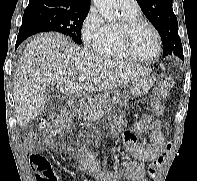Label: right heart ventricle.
I'll return each instance as SVG.
<instances>
[{
    "mask_svg": "<svg viewBox=\"0 0 197 181\" xmlns=\"http://www.w3.org/2000/svg\"><path fill=\"white\" fill-rule=\"evenodd\" d=\"M124 21L139 18V10H121ZM120 25H107V30L102 43L96 48L97 53L104 57L129 58L120 46L118 39V28Z\"/></svg>",
    "mask_w": 197,
    "mask_h": 181,
    "instance_id": "obj_1",
    "label": "right heart ventricle"
}]
</instances>
